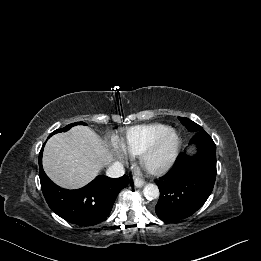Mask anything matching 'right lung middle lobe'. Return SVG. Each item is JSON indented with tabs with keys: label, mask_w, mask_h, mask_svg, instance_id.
<instances>
[{
	"label": "right lung middle lobe",
	"mask_w": 261,
	"mask_h": 261,
	"mask_svg": "<svg viewBox=\"0 0 261 261\" xmlns=\"http://www.w3.org/2000/svg\"><path fill=\"white\" fill-rule=\"evenodd\" d=\"M75 125H86V123H84V122H76V123H73V124H69L65 128L55 130L50 136H52L53 134H56L58 132H65L68 129H70L72 126H75Z\"/></svg>",
	"instance_id": "obj_1"
}]
</instances>
